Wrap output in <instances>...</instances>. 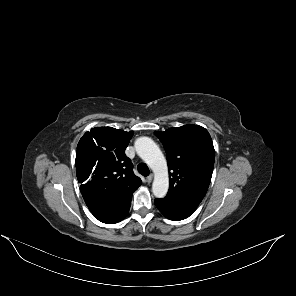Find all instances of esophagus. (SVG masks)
<instances>
[{
    "instance_id": "34e87169",
    "label": "esophagus",
    "mask_w": 296,
    "mask_h": 296,
    "mask_svg": "<svg viewBox=\"0 0 296 296\" xmlns=\"http://www.w3.org/2000/svg\"><path fill=\"white\" fill-rule=\"evenodd\" d=\"M153 177H154L153 174H150L149 176H147L146 181L148 184L152 182Z\"/></svg>"
}]
</instances>
